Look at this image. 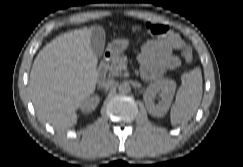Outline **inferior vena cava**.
Masks as SVG:
<instances>
[{
	"label": "inferior vena cava",
	"mask_w": 243,
	"mask_h": 167,
	"mask_svg": "<svg viewBox=\"0 0 243 167\" xmlns=\"http://www.w3.org/2000/svg\"><path fill=\"white\" fill-rule=\"evenodd\" d=\"M113 83H114L113 80H106V81H103L101 85H102L103 87H105V88H108V87L111 86Z\"/></svg>",
	"instance_id": "obj_1"
}]
</instances>
